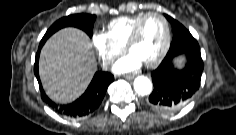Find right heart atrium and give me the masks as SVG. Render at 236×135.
<instances>
[{
  "label": "right heart atrium",
  "instance_id": "d8ad5b80",
  "mask_svg": "<svg viewBox=\"0 0 236 135\" xmlns=\"http://www.w3.org/2000/svg\"><path fill=\"white\" fill-rule=\"evenodd\" d=\"M91 42L104 66L109 65L123 50L112 43L105 33H93Z\"/></svg>",
  "mask_w": 236,
  "mask_h": 135
}]
</instances>
